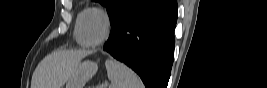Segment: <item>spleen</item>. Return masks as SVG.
<instances>
[{
    "instance_id": "obj_1",
    "label": "spleen",
    "mask_w": 267,
    "mask_h": 88,
    "mask_svg": "<svg viewBox=\"0 0 267 88\" xmlns=\"http://www.w3.org/2000/svg\"><path fill=\"white\" fill-rule=\"evenodd\" d=\"M105 66L111 82L109 88H144L140 77L124 63L107 59Z\"/></svg>"
}]
</instances>
